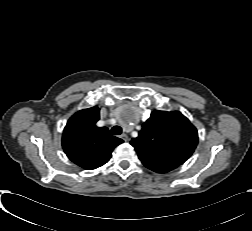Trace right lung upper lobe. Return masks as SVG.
I'll return each instance as SVG.
<instances>
[{
  "label": "right lung upper lobe",
  "instance_id": "obj_1",
  "mask_svg": "<svg viewBox=\"0 0 252 231\" xmlns=\"http://www.w3.org/2000/svg\"><path fill=\"white\" fill-rule=\"evenodd\" d=\"M97 106L75 113L67 122L62 136V146L68 158L78 166L92 170L112 156L113 149L123 142L110 135L106 127H97Z\"/></svg>",
  "mask_w": 252,
  "mask_h": 231
}]
</instances>
